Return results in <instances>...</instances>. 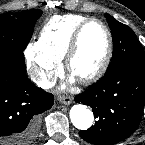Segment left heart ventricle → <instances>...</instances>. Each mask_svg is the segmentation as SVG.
<instances>
[{
    "mask_svg": "<svg viewBox=\"0 0 145 145\" xmlns=\"http://www.w3.org/2000/svg\"><path fill=\"white\" fill-rule=\"evenodd\" d=\"M106 47L103 28L97 23L87 25L81 36L79 51L72 62L71 74L80 78L94 71L101 63Z\"/></svg>",
    "mask_w": 145,
    "mask_h": 145,
    "instance_id": "obj_1",
    "label": "left heart ventricle"
}]
</instances>
